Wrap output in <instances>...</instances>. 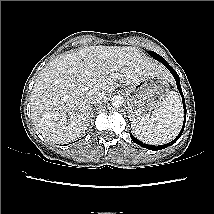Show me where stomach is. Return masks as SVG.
<instances>
[{"label": "stomach", "mask_w": 214, "mask_h": 214, "mask_svg": "<svg viewBox=\"0 0 214 214\" xmlns=\"http://www.w3.org/2000/svg\"><path fill=\"white\" fill-rule=\"evenodd\" d=\"M168 93L169 84L163 74L127 84L125 94L129 115L135 117L149 114L161 105Z\"/></svg>", "instance_id": "0dacf381"}]
</instances>
